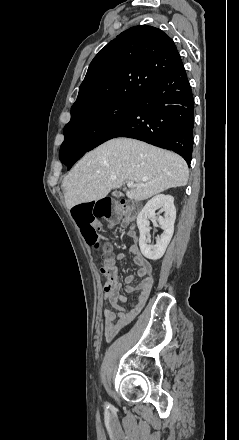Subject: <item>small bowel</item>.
<instances>
[{"mask_svg":"<svg viewBox=\"0 0 239 440\" xmlns=\"http://www.w3.org/2000/svg\"><path fill=\"white\" fill-rule=\"evenodd\" d=\"M129 256L138 267L136 274H132L126 277L124 290L128 294H137L135 302L131 304L128 311H124L121 307V303L126 302V298L121 295V284L116 274L114 278H107L104 286L105 300L113 309H105L103 312L104 317V335L108 340L112 339L124 326L130 323L135 316L144 307L153 281L154 273L150 262L140 253L139 248L136 245H132L128 251ZM118 261H125L127 255L119 253L116 256ZM138 280L137 284H133ZM114 310H117L116 313Z\"/></svg>","mask_w":239,"mask_h":440,"instance_id":"small-bowel-1","label":"small bowel"}]
</instances>
